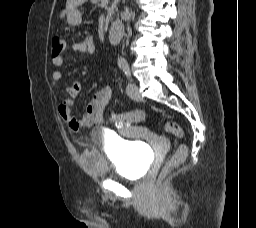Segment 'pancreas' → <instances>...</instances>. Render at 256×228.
I'll return each instance as SVG.
<instances>
[{
	"instance_id": "1",
	"label": "pancreas",
	"mask_w": 256,
	"mask_h": 228,
	"mask_svg": "<svg viewBox=\"0 0 256 228\" xmlns=\"http://www.w3.org/2000/svg\"><path fill=\"white\" fill-rule=\"evenodd\" d=\"M92 3L98 4L99 2H102V0H91Z\"/></svg>"
}]
</instances>
